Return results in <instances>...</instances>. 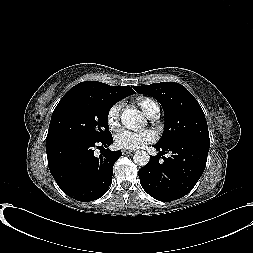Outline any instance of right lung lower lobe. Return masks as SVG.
I'll list each match as a JSON object with an SVG mask.
<instances>
[{
  "label": "right lung lower lobe",
  "instance_id": "right-lung-lower-lobe-1",
  "mask_svg": "<svg viewBox=\"0 0 253 253\" xmlns=\"http://www.w3.org/2000/svg\"><path fill=\"white\" fill-rule=\"evenodd\" d=\"M112 142L111 135L101 140L66 137L46 143L50 172L65 194L88 202L107 192L112 183L113 165L122 156L121 151L107 148ZM95 147L102 148L104 153L95 157Z\"/></svg>",
  "mask_w": 253,
  "mask_h": 253
}]
</instances>
